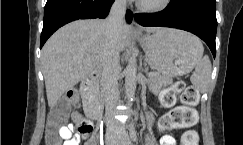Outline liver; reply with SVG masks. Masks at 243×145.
Returning <instances> with one entry per match:
<instances>
[{
  "instance_id": "obj_1",
  "label": "liver",
  "mask_w": 243,
  "mask_h": 145,
  "mask_svg": "<svg viewBox=\"0 0 243 145\" xmlns=\"http://www.w3.org/2000/svg\"><path fill=\"white\" fill-rule=\"evenodd\" d=\"M157 29L144 28L147 32ZM130 40L131 27L123 23L119 33V50L126 49ZM106 42L105 20L74 21L48 39L42 49L41 63L50 108L67 90L102 63Z\"/></svg>"
}]
</instances>
